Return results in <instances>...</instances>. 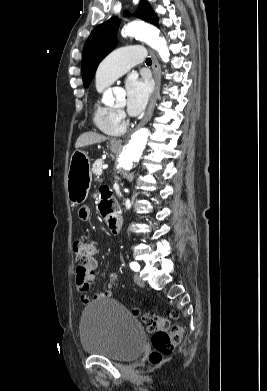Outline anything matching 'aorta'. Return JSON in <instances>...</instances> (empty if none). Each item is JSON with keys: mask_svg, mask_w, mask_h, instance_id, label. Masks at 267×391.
<instances>
[{"mask_svg": "<svg viewBox=\"0 0 267 391\" xmlns=\"http://www.w3.org/2000/svg\"><path fill=\"white\" fill-rule=\"evenodd\" d=\"M123 37L133 36L146 42L151 48L156 50L162 61L168 62L170 53L166 40L160 36L157 28L144 22L134 21L127 24L122 32ZM112 90H107L103 94L104 99H112ZM150 131L147 128L137 130L132 136L119 157V165L124 171H130L141 157L148 141Z\"/></svg>", "mask_w": 267, "mask_h": 391, "instance_id": "762f6f07", "label": "aorta"}]
</instances>
